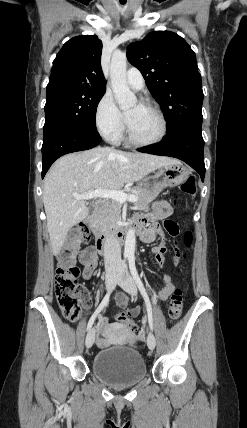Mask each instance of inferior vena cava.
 I'll return each instance as SVG.
<instances>
[{
  "mask_svg": "<svg viewBox=\"0 0 247 428\" xmlns=\"http://www.w3.org/2000/svg\"><path fill=\"white\" fill-rule=\"evenodd\" d=\"M105 268H119L122 264L119 242L113 235H108L104 240Z\"/></svg>",
  "mask_w": 247,
  "mask_h": 428,
  "instance_id": "602c4592",
  "label": "inferior vena cava"
}]
</instances>
